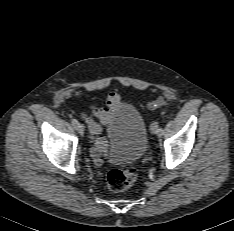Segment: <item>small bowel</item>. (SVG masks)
Wrapping results in <instances>:
<instances>
[{
  "label": "small bowel",
  "mask_w": 234,
  "mask_h": 231,
  "mask_svg": "<svg viewBox=\"0 0 234 231\" xmlns=\"http://www.w3.org/2000/svg\"><path fill=\"white\" fill-rule=\"evenodd\" d=\"M79 97V95H76ZM121 95L119 92H111L107 99L106 107H92L90 113H82L81 117L87 123V130L91 142L93 144L91 148V157L95 165H101L104 161V155L107 152V142L100 136L102 126L109 125L112 120V115L116 110Z\"/></svg>",
  "instance_id": "obj_1"
}]
</instances>
